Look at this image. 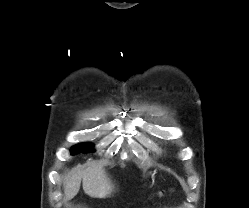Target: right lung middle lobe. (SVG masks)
<instances>
[{
	"label": "right lung middle lobe",
	"mask_w": 249,
	"mask_h": 208,
	"mask_svg": "<svg viewBox=\"0 0 249 208\" xmlns=\"http://www.w3.org/2000/svg\"><path fill=\"white\" fill-rule=\"evenodd\" d=\"M92 145L89 143H82V144H78L76 146H74L71 149V154L74 155L76 153H88V152H92Z\"/></svg>",
	"instance_id": "dd1d6c3e"
}]
</instances>
